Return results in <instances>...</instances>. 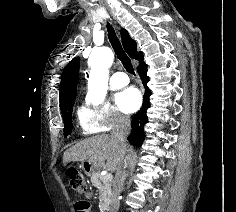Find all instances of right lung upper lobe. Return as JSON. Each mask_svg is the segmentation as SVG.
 Here are the masks:
<instances>
[{
  "instance_id": "right-lung-upper-lobe-1",
  "label": "right lung upper lobe",
  "mask_w": 236,
  "mask_h": 212,
  "mask_svg": "<svg viewBox=\"0 0 236 212\" xmlns=\"http://www.w3.org/2000/svg\"><path fill=\"white\" fill-rule=\"evenodd\" d=\"M122 44L128 55L139 62L143 60V53L137 51V43L130 37L127 30L121 31ZM79 58H73L64 68L60 83V106L65 101L75 98L76 84L79 73Z\"/></svg>"
}]
</instances>
